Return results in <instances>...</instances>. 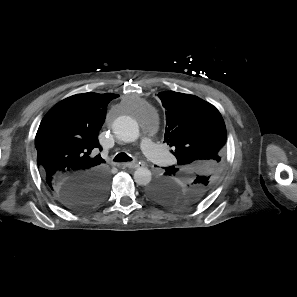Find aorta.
<instances>
[{"mask_svg": "<svg viewBox=\"0 0 297 297\" xmlns=\"http://www.w3.org/2000/svg\"><path fill=\"white\" fill-rule=\"evenodd\" d=\"M112 129L116 137L126 143L135 142L139 138L137 122L129 116H120L113 122ZM134 181L140 186L151 182L152 174L147 168L140 167L134 172Z\"/></svg>", "mask_w": 297, "mask_h": 297, "instance_id": "obj_1", "label": "aorta"}]
</instances>
